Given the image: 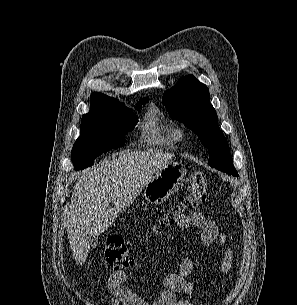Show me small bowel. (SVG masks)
<instances>
[{
    "label": "small bowel",
    "instance_id": "c3829d8e",
    "mask_svg": "<svg viewBox=\"0 0 297 305\" xmlns=\"http://www.w3.org/2000/svg\"><path fill=\"white\" fill-rule=\"evenodd\" d=\"M175 224L179 228L195 227L199 230L200 238L205 246L216 243L219 247H227L221 261L220 271L226 274L233 262V251L227 246V237L218 227L206 220L201 213L194 212L188 215L181 214ZM194 264L190 257H185L178 270L166 275L162 284L164 289L155 296L143 298L127 286V275L122 271H115L109 275L108 289L111 294L112 305H191L186 300H181L177 294L184 293L190 296H198L196 279L189 276L193 273Z\"/></svg>",
    "mask_w": 297,
    "mask_h": 305
}]
</instances>
